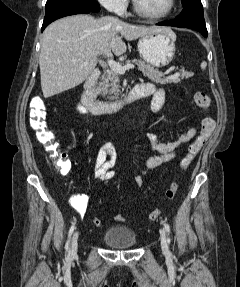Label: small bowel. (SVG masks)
Segmentation results:
<instances>
[{
	"label": "small bowel",
	"mask_w": 240,
	"mask_h": 287,
	"mask_svg": "<svg viewBox=\"0 0 240 287\" xmlns=\"http://www.w3.org/2000/svg\"><path fill=\"white\" fill-rule=\"evenodd\" d=\"M140 88L145 93V97L152 96V110L154 112H159L165 103L164 90L156 88L151 83H142L140 84ZM76 109L81 114H85L87 112L85 107L81 104H77ZM195 134L196 128H190L180 133L174 140L168 142H160L156 136L149 135L147 137V144L151 154L144 159V170L141 174L134 177V183L137 186H141L143 184L144 176L148 171L173 161L176 158L178 148L189 142ZM74 143L75 142L73 140L68 148H73ZM115 163L116 152L114 147L109 143L104 144L99 149L94 161L93 167L95 178L99 180H112L116 178L117 172L113 169ZM88 202V195L79 194L71 199V206L78 214L83 215L87 210Z\"/></svg>",
	"instance_id": "obj_1"
}]
</instances>
